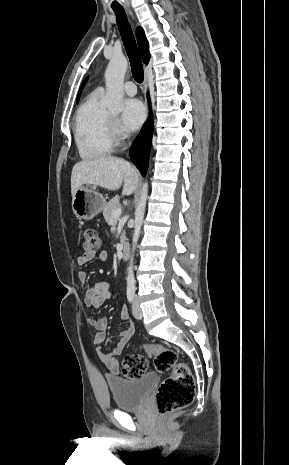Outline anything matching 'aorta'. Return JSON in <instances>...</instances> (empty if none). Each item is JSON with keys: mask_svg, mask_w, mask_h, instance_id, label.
I'll list each match as a JSON object with an SVG mask.
<instances>
[{"mask_svg": "<svg viewBox=\"0 0 289 465\" xmlns=\"http://www.w3.org/2000/svg\"><path fill=\"white\" fill-rule=\"evenodd\" d=\"M128 67V61L124 56L113 57L105 71V83L107 94L104 99L105 106L113 112L120 113L123 110V96H124V77ZM148 199V183L143 184L140 200L135 211V226L132 238V255L130 258L129 266L127 268V290H135L134 278V251L140 236L141 226L146 209V202Z\"/></svg>", "mask_w": 289, "mask_h": 465, "instance_id": "1", "label": "aorta"}]
</instances>
